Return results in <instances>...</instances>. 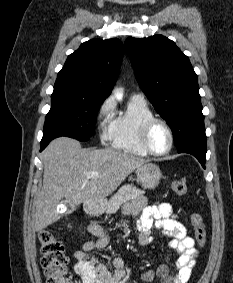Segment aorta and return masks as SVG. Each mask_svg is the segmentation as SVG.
Instances as JSON below:
<instances>
[{
	"instance_id": "762f6f07",
	"label": "aorta",
	"mask_w": 233,
	"mask_h": 283,
	"mask_svg": "<svg viewBox=\"0 0 233 283\" xmlns=\"http://www.w3.org/2000/svg\"><path fill=\"white\" fill-rule=\"evenodd\" d=\"M115 97H116L118 100H122V95H121V94H116Z\"/></svg>"
}]
</instances>
